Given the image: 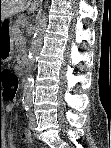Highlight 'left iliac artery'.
Returning <instances> with one entry per match:
<instances>
[{
  "instance_id": "1",
  "label": "left iliac artery",
  "mask_w": 111,
  "mask_h": 148,
  "mask_svg": "<svg viewBox=\"0 0 111 148\" xmlns=\"http://www.w3.org/2000/svg\"><path fill=\"white\" fill-rule=\"evenodd\" d=\"M25 109H26V111H29V106L27 108H25Z\"/></svg>"
}]
</instances>
